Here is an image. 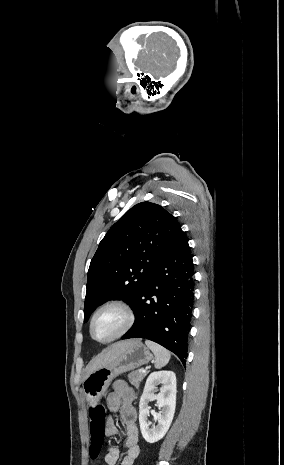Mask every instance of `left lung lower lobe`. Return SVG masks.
Instances as JSON below:
<instances>
[{"instance_id":"left-lung-lower-lobe-1","label":"left lung lower lobe","mask_w":284,"mask_h":465,"mask_svg":"<svg viewBox=\"0 0 284 465\" xmlns=\"http://www.w3.org/2000/svg\"><path fill=\"white\" fill-rule=\"evenodd\" d=\"M133 305L136 321L122 339L154 341L175 353L185 365L194 305V271L182 230L147 278Z\"/></svg>"}]
</instances>
